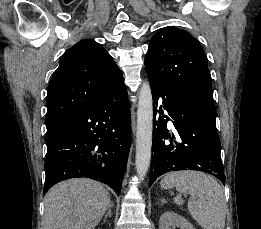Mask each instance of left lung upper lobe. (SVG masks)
I'll return each instance as SVG.
<instances>
[{
    "instance_id": "left-lung-upper-lobe-1",
    "label": "left lung upper lobe",
    "mask_w": 261,
    "mask_h": 229,
    "mask_svg": "<svg viewBox=\"0 0 261 229\" xmlns=\"http://www.w3.org/2000/svg\"><path fill=\"white\" fill-rule=\"evenodd\" d=\"M145 66L148 76L166 84L213 94L205 52L185 30L175 27L158 30L150 41Z\"/></svg>"
}]
</instances>
